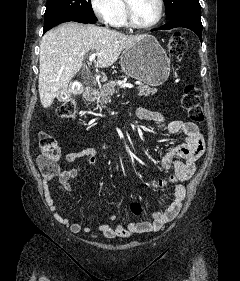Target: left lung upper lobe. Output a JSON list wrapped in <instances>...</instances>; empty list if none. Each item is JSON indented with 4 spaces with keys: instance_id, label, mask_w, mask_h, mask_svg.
<instances>
[{
    "instance_id": "5c2ea615",
    "label": "left lung upper lobe",
    "mask_w": 240,
    "mask_h": 281,
    "mask_svg": "<svg viewBox=\"0 0 240 281\" xmlns=\"http://www.w3.org/2000/svg\"><path fill=\"white\" fill-rule=\"evenodd\" d=\"M164 3L168 20L188 13L200 15L199 0H164Z\"/></svg>"
}]
</instances>
